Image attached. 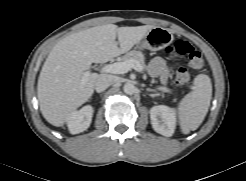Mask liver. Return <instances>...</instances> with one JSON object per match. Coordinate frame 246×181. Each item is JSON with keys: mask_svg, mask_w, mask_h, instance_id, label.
<instances>
[{"mask_svg": "<svg viewBox=\"0 0 246 181\" xmlns=\"http://www.w3.org/2000/svg\"><path fill=\"white\" fill-rule=\"evenodd\" d=\"M153 28L106 24L60 40L50 51L38 78L37 96L43 117L54 126H63L94 92L100 75L92 73L82 81L91 64L105 63L128 52Z\"/></svg>", "mask_w": 246, "mask_h": 181, "instance_id": "liver-1", "label": "liver"}]
</instances>
